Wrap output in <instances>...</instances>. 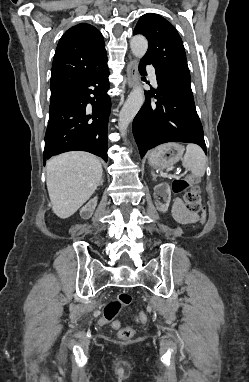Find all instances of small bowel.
I'll use <instances>...</instances> for the list:
<instances>
[{
	"label": "small bowel",
	"instance_id": "1",
	"mask_svg": "<svg viewBox=\"0 0 249 382\" xmlns=\"http://www.w3.org/2000/svg\"><path fill=\"white\" fill-rule=\"evenodd\" d=\"M173 213L175 219L181 224H193L197 221V216L193 213L188 212L182 201L177 199L174 202Z\"/></svg>",
	"mask_w": 249,
	"mask_h": 382
}]
</instances>
